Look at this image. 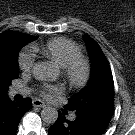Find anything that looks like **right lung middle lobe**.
<instances>
[{
    "label": "right lung middle lobe",
    "instance_id": "dd1d6c3e",
    "mask_svg": "<svg viewBox=\"0 0 135 135\" xmlns=\"http://www.w3.org/2000/svg\"><path fill=\"white\" fill-rule=\"evenodd\" d=\"M38 36L14 32L6 42L8 60L0 63V95L6 94L13 79L18 78V52L24 45L37 39Z\"/></svg>",
    "mask_w": 135,
    "mask_h": 135
}]
</instances>
